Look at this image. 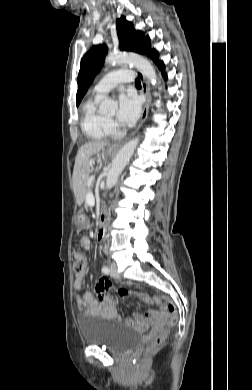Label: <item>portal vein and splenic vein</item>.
<instances>
[{
    "mask_svg": "<svg viewBox=\"0 0 252 390\" xmlns=\"http://www.w3.org/2000/svg\"><path fill=\"white\" fill-rule=\"evenodd\" d=\"M86 202L90 205V206H94V203H95V199H94V196L92 193H88L86 195Z\"/></svg>",
    "mask_w": 252,
    "mask_h": 390,
    "instance_id": "portal-vein-and-splenic-vein-1",
    "label": "portal vein and splenic vein"
}]
</instances>
